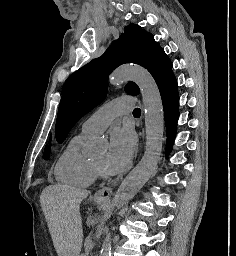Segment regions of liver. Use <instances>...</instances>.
<instances>
[{
  "instance_id": "liver-1",
  "label": "liver",
  "mask_w": 236,
  "mask_h": 256,
  "mask_svg": "<svg viewBox=\"0 0 236 256\" xmlns=\"http://www.w3.org/2000/svg\"><path fill=\"white\" fill-rule=\"evenodd\" d=\"M90 192L71 186H48L41 206L58 256H79L83 242L80 204Z\"/></svg>"
}]
</instances>
